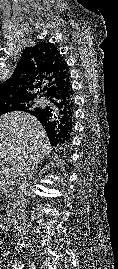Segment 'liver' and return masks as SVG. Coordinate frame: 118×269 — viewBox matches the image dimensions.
<instances>
[{
  "label": "liver",
  "mask_w": 118,
  "mask_h": 269,
  "mask_svg": "<svg viewBox=\"0 0 118 269\" xmlns=\"http://www.w3.org/2000/svg\"><path fill=\"white\" fill-rule=\"evenodd\" d=\"M51 150L45 130L33 115L16 111L0 116V171L11 165L17 173L23 163L37 165Z\"/></svg>",
  "instance_id": "6515ba94"
}]
</instances>
